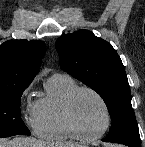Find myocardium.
<instances>
[{
	"label": "myocardium",
	"instance_id": "myocardium-1",
	"mask_svg": "<svg viewBox=\"0 0 145 147\" xmlns=\"http://www.w3.org/2000/svg\"><path fill=\"white\" fill-rule=\"evenodd\" d=\"M81 92H89L92 95H94L104 108L105 115H106V122L102 130H100L99 132H96V133L86 132L83 129V127L80 125L76 117L74 105H75V100L77 96ZM65 113H66L67 120L70 123L71 127L74 129V131L77 132L83 139H86V140H94L103 136L109 130L111 126V122H112V113L107 101L97 90L89 86H78L69 94L65 102Z\"/></svg>",
	"mask_w": 145,
	"mask_h": 147
}]
</instances>
